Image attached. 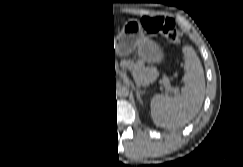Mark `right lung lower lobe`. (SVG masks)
<instances>
[{
    "label": "right lung lower lobe",
    "instance_id": "obj_1",
    "mask_svg": "<svg viewBox=\"0 0 243 167\" xmlns=\"http://www.w3.org/2000/svg\"><path fill=\"white\" fill-rule=\"evenodd\" d=\"M100 30L101 29L97 27L98 33L100 32ZM111 32L113 36V29H111ZM111 59H114V54L111 56ZM115 85L116 81L115 78H113L110 84L111 90L114 86V91H112L111 93V101L115 100L116 98ZM85 90L86 89L83 87L80 91H77L73 87V85L67 81L62 85L60 98L61 100L59 107L60 109L57 113V123L60 128V133L65 134L67 136L75 137L87 135L92 132L102 131L103 127L105 126L106 106L104 93V79L99 80L96 96L91 102V104L85 101ZM50 92L52 93V91H49V93ZM48 101V95L44 96L43 92H41L40 114L42 118L50 117V115H52V111H55L54 107H48ZM80 111L82 112L81 114Z\"/></svg>",
    "mask_w": 243,
    "mask_h": 167
}]
</instances>
